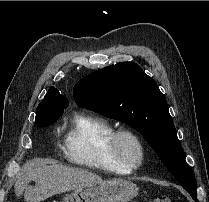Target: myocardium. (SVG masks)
I'll return each instance as SVG.
<instances>
[{
  "label": "myocardium",
  "instance_id": "obj_1",
  "mask_svg": "<svg viewBox=\"0 0 209 202\" xmlns=\"http://www.w3.org/2000/svg\"><path fill=\"white\" fill-rule=\"evenodd\" d=\"M124 139H130L135 143L137 147L135 156H130L122 150L121 143ZM107 149L114 161L130 169L138 168L145 158V146L142 138L136 131L127 127L116 128L112 131Z\"/></svg>",
  "mask_w": 209,
  "mask_h": 202
}]
</instances>
